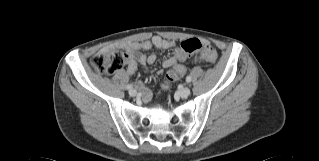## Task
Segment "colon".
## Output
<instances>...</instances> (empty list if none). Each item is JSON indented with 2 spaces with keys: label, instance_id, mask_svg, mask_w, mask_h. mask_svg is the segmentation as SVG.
<instances>
[{
  "label": "colon",
  "instance_id": "colon-1",
  "mask_svg": "<svg viewBox=\"0 0 319 161\" xmlns=\"http://www.w3.org/2000/svg\"><path fill=\"white\" fill-rule=\"evenodd\" d=\"M201 42L198 39L190 38L182 41L179 49L175 54L177 62L184 61L188 56L198 52L201 49ZM203 58L209 62H217L218 54L212 48H206L203 51ZM127 62V55L121 51H111L107 53L97 54L92 58L91 64L100 73L113 74L123 69ZM178 80L177 71L170 70L166 75L165 86L173 87Z\"/></svg>",
  "mask_w": 319,
  "mask_h": 161
}]
</instances>
